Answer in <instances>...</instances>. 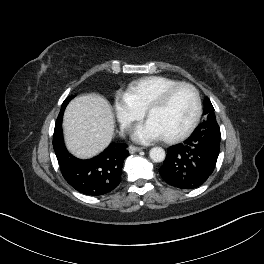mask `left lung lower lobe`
Instances as JSON below:
<instances>
[{"label":"left lung lower lobe","mask_w":264,"mask_h":264,"mask_svg":"<svg viewBox=\"0 0 264 264\" xmlns=\"http://www.w3.org/2000/svg\"><path fill=\"white\" fill-rule=\"evenodd\" d=\"M220 140L217 122L203 121L184 143L168 148L166 159L159 169L162 178L180 189L199 187L214 171Z\"/></svg>","instance_id":"obj_1"}]
</instances>
